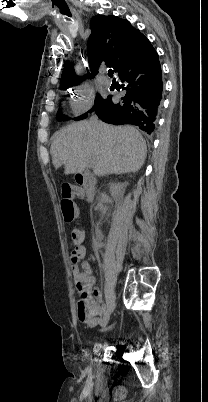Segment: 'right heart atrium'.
<instances>
[{
	"label": "right heart atrium",
	"instance_id": "d8ad5b80",
	"mask_svg": "<svg viewBox=\"0 0 208 402\" xmlns=\"http://www.w3.org/2000/svg\"><path fill=\"white\" fill-rule=\"evenodd\" d=\"M94 98L95 89L91 84L87 82L78 83L71 89V108L78 114L89 108Z\"/></svg>",
	"mask_w": 208,
	"mask_h": 402
}]
</instances>
